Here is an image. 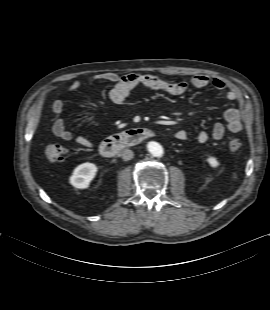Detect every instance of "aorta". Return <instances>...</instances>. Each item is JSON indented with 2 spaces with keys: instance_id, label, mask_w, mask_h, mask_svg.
<instances>
[{
  "instance_id": "1",
  "label": "aorta",
  "mask_w": 270,
  "mask_h": 310,
  "mask_svg": "<svg viewBox=\"0 0 270 310\" xmlns=\"http://www.w3.org/2000/svg\"><path fill=\"white\" fill-rule=\"evenodd\" d=\"M147 147L149 152L155 157H160L164 153L163 147L157 142H149Z\"/></svg>"
}]
</instances>
